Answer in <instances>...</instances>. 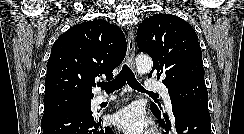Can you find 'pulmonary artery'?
Instances as JSON below:
<instances>
[{"label": "pulmonary artery", "instance_id": "obj_1", "mask_svg": "<svg viewBox=\"0 0 244 134\" xmlns=\"http://www.w3.org/2000/svg\"><path fill=\"white\" fill-rule=\"evenodd\" d=\"M145 89L149 92H159L163 96L167 108L171 110V99L168 94V89L163 83L155 82V81H147L145 84ZM106 100L107 98L105 97H99L97 99V103H101ZM109 100H114V97L109 98Z\"/></svg>", "mask_w": 244, "mask_h": 134}]
</instances>
